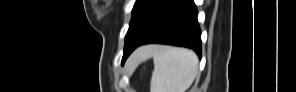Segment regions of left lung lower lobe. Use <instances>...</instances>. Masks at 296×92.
I'll list each match as a JSON object with an SVG mask.
<instances>
[{
    "label": "left lung lower lobe",
    "mask_w": 296,
    "mask_h": 92,
    "mask_svg": "<svg viewBox=\"0 0 296 92\" xmlns=\"http://www.w3.org/2000/svg\"><path fill=\"white\" fill-rule=\"evenodd\" d=\"M161 43L193 49L201 58V30L194 0H170L154 26L136 45L124 53V62L139 45Z\"/></svg>",
    "instance_id": "obj_1"
}]
</instances>
